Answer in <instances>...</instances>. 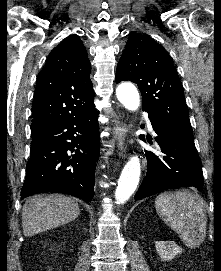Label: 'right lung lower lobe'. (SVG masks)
I'll return each instance as SVG.
<instances>
[{
	"mask_svg": "<svg viewBox=\"0 0 221 271\" xmlns=\"http://www.w3.org/2000/svg\"><path fill=\"white\" fill-rule=\"evenodd\" d=\"M31 136V153L21 199L37 193L55 192L91 201L100 147L95 107ZM68 151L74 154L70 155Z\"/></svg>",
	"mask_w": 221,
	"mask_h": 271,
	"instance_id": "98d812e1",
	"label": "right lung lower lobe"
}]
</instances>
